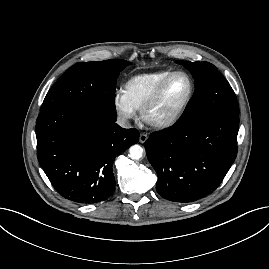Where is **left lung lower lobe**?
<instances>
[{"instance_id":"0a47b994","label":"left lung lower lobe","mask_w":269,"mask_h":269,"mask_svg":"<svg viewBox=\"0 0 269 269\" xmlns=\"http://www.w3.org/2000/svg\"><path fill=\"white\" fill-rule=\"evenodd\" d=\"M238 129V114L221 112L152 133L144 146L158 194L189 203L216 190L236 158Z\"/></svg>"}]
</instances>
